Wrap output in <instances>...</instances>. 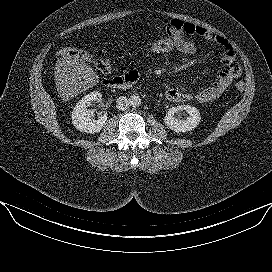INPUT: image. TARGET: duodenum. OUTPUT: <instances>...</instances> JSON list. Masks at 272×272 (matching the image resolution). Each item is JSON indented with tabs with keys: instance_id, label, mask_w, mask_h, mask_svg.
Instances as JSON below:
<instances>
[{
	"instance_id": "obj_1",
	"label": "duodenum",
	"mask_w": 272,
	"mask_h": 272,
	"mask_svg": "<svg viewBox=\"0 0 272 272\" xmlns=\"http://www.w3.org/2000/svg\"><path fill=\"white\" fill-rule=\"evenodd\" d=\"M138 77L132 74H124L113 78L106 79L103 84L113 89H125L132 86Z\"/></svg>"
}]
</instances>
